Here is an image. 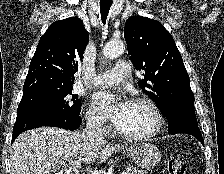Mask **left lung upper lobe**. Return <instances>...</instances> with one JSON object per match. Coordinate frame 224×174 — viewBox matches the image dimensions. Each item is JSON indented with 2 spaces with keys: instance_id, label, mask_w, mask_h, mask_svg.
<instances>
[{
  "instance_id": "obj_1",
  "label": "left lung upper lobe",
  "mask_w": 224,
  "mask_h": 174,
  "mask_svg": "<svg viewBox=\"0 0 224 174\" xmlns=\"http://www.w3.org/2000/svg\"><path fill=\"white\" fill-rule=\"evenodd\" d=\"M124 38L134 67L145 71L138 85L165 116L178 103L194 102L183 59L160 22L132 16L126 21Z\"/></svg>"
}]
</instances>
